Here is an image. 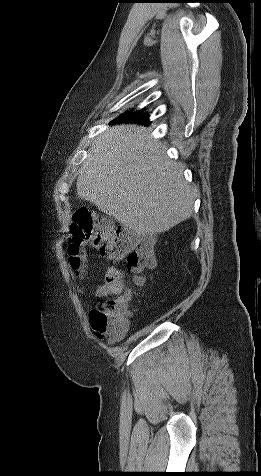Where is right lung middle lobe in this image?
Segmentation results:
<instances>
[{"mask_svg": "<svg viewBox=\"0 0 261 476\" xmlns=\"http://www.w3.org/2000/svg\"><path fill=\"white\" fill-rule=\"evenodd\" d=\"M125 118L133 119L139 122L147 121V115L144 116L143 114H140V111L132 113V114L120 116V119H125Z\"/></svg>", "mask_w": 261, "mask_h": 476, "instance_id": "dd1d6c3e", "label": "right lung middle lobe"}]
</instances>
